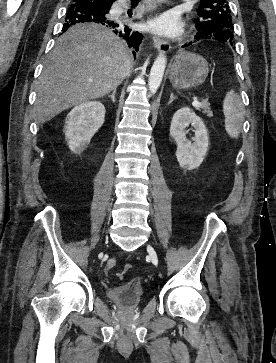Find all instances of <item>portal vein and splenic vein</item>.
I'll list each match as a JSON object with an SVG mask.
<instances>
[{"label":"portal vein and splenic vein","mask_w":276,"mask_h":363,"mask_svg":"<svg viewBox=\"0 0 276 363\" xmlns=\"http://www.w3.org/2000/svg\"><path fill=\"white\" fill-rule=\"evenodd\" d=\"M192 105L194 106V107H199V106H201L202 104L197 100V99H194V101L192 102Z\"/></svg>","instance_id":"18ae733b"}]
</instances>
